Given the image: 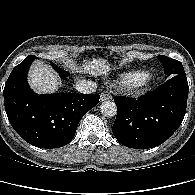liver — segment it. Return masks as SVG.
Wrapping results in <instances>:
<instances>
[{
  "label": "liver",
  "instance_id": "liver-1",
  "mask_svg": "<svg viewBox=\"0 0 195 195\" xmlns=\"http://www.w3.org/2000/svg\"><path fill=\"white\" fill-rule=\"evenodd\" d=\"M110 63L104 59H92L81 65V71L94 76L107 75ZM28 80L31 87L38 93H54L58 90L60 81L57 74L45 63L37 62L29 72Z\"/></svg>",
  "mask_w": 195,
  "mask_h": 195
}]
</instances>
